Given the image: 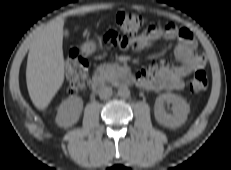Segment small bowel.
<instances>
[{
  "label": "small bowel",
  "mask_w": 231,
  "mask_h": 170,
  "mask_svg": "<svg viewBox=\"0 0 231 170\" xmlns=\"http://www.w3.org/2000/svg\"><path fill=\"white\" fill-rule=\"evenodd\" d=\"M160 39L178 42L174 54L179 64L168 65L156 60L150 67L136 74L137 83L155 91L181 90L185 85L184 78L202 69L206 63L204 54L198 49L193 34L188 28L174 24L161 27L154 23L145 32L134 37L115 30H109L100 37V41L105 44L134 50L148 49Z\"/></svg>",
  "instance_id": "1"
}]
</instances>
